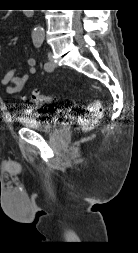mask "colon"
I'll list each match as a JSON object with an SVG mask.
<instances>
[{
	"label": "colon",
	"instance_id": "colon-1",
	"mask_svg": "<svg viewBox=\"0 0 138 253\" xmlns=\"http://www.w3.org/2000/svg\"><path fill=\"white\" fill-rule=\"evenodd\" d=\"M29 101L34 104H50L54 101L52 95L43 94L34 90L29 95ZM103 115V106L100 101L93 100L80 115V125L82 130L89 131L95 128L100 122Z\"/></svg>",
	"mask_w": 138,
	"mask_h": 253
}]
</instances>
